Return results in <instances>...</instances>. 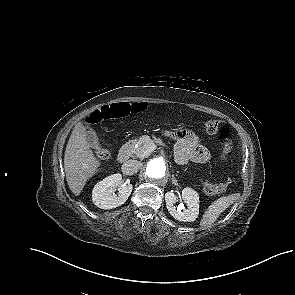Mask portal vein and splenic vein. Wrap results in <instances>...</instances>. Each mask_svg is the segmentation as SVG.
I'll return each instance as SVG.
<instances>
[{
	"label": "portal vein and splenic vein",
	"mask_w": 295,
	"mask_h": 295,
	"mask_svg": "<svg viewBox=\"0 0 295 295\" xmlns=\"http://www.w3.org/2000/svg\"><path fill=\"white\" fill-rule=\"evenodd\" d=\"M154 149H156V145L155 144L151 145L149 147L148 151H153Z\"/></svg>",
	"instance_id": "obj_1"
}]
</instances>
